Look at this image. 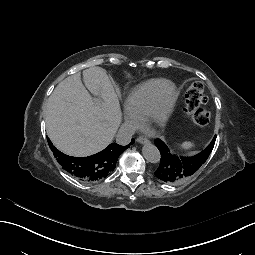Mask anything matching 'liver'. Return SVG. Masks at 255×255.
<instances>
[{
  "mask_svg": "<svg viewBox=\"0 0 255 255\" xmlns=\"http://www.w3.org/2000/svg\"><path fill=\"white\" fill-rule=\"evenodd\" d=\"M67 77L54 90L46 110L50 140L61 152L83 157L109 145L119 127L118 97L107 72L101 67ZM97 98V99H95Z\"/></svg>",
  "mask_w": 255,
  "mask_h": 255,
  "instance_id": "liver-1",
  "label": "liver"
}]
</instances>
